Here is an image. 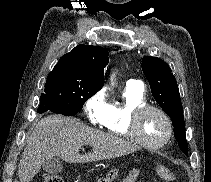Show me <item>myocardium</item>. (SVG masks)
I'll return each instance as SVG.
<instances>
[{
	"label": "myocardium",
	"mask_w": 211,
	"mask_h": 182,
	"mask_svg": "<svg viewBox=\"0 0 211 182\" xmlns=\"http://www.w3.org/2000/svg\"><path fill=\"white\" fill-rule=\"evenodd\" d=\"M148 111H155L159 113L162 118L164 119L166 126H167V134L165 138L156 144L148 143L144 141L139 132V120L142 117L143 114H145ZM129 131L132 136V138L142 147L149 148V149H160L164 147L168 142L171 140L172 135H173V125L170 117L168 114L160 107L152 104H140L134 107L131 111L130 114V119H129Z\"/></svg>",
	"instance_id": "myocardium-1"
}]
</instances>
